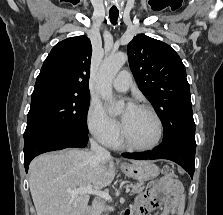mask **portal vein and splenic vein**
<instances>
[{"instance_id": "obj_1", "label": "portal vein and splenic vein", "mask_w": 223, "mask_h": 215, "mask_svg": "<svg viewBox=\"0 0 223 215\" xmlns=\"http://www.w3.org/2000/svg\"><path fill=\"white\" fill-rule=\"evenodd\" d=\"M130 188V187H129ZM129 188H125V192L128 194ZM69 193H72V197H76L78 193H95V195H100L103 199H108V201H112L111 195H109V191H101V189H93L91 183L87 185V187H77V189H71Z\"/></svg>"}]
</instances>
